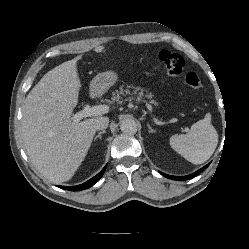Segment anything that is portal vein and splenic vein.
Instances as JSON below:
<instances>
[{
	"instance_id": "1",
	"label": "portal vein and splenic vein",
	"mask_w": 249,
	"mask_h": 249,
	"mask_svg": "<svg viewBox=\"0 0 249 249\" xmlns=\"http://www.w3.org/2000/svg\"><path fill=\"white\" fill-rule=\"evenodd\" d=\"M108 111L109 106L107 105H96L92 107L90 105H85L81 111L73 115L72 121L78 123L83 118L105 114L108 113Z\"/></svg>"
}]
</instances>
